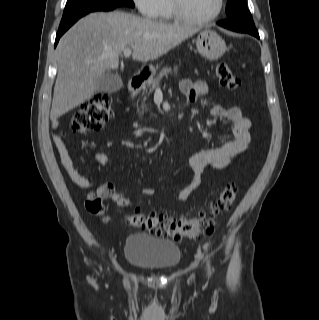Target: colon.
<instances>
[{"label":"colon","instance_id":"5ec220e1","mask_svg":"<svg viewBox=\"0 0 319 320\" xmlns=\"http://www.w3.org/2000/svg\"><path fill=\"white\" fill-rule=\"evenodd\" d=\"M216 76L221 86L236 91L240 80L231 71L226 62H220L216 67ZM114 116L111 108V98L108 94L94 95L84 103L72 117L70 128L74 132L88 133L100 130ZM111 186H107V192ZM237 192V185L230 183L221 189L214 197L210 209L201 211L196 217L172 219L162 214H142L134 212L125 217V222L135 228L154 235H163L174 240L184 237H202L210 235L219 218L229 209ZM129 200L123 197L120 207H127ZM90 213L102 216L104 206L100 197L90 196L85 204Z\"/></svg>","mask_w":319,"mask_h":320}]
</instances>
